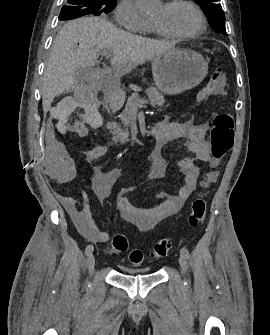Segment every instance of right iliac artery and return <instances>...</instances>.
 Listing matches in <instances>:
<instances>
[{
	"instance_id": "obj_1",
	"label": "right iliac artery",
	"mask_w": 270,
	"mask_h": 335,
	"mask_svg": "<svg viewBox=\"0 0 270 335\" xmlns=\"http://www.w3.org/2000/svg\"><path fill=\"white\" fill-rule=\"evenodd\" d=\"M93 250H94L93 245H88L85 249V254L89 256L93 252Z\"/></svg>"
}]
</instances>
